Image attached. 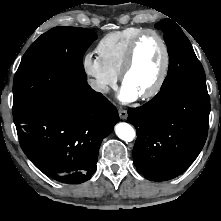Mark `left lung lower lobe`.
Listing matches in <instances>:
<instances>
[{
	"instance_id": "obj_1",
	"label": "left lung lower lobe",
	"mask_w": 221,
	"mask_h": 221,
	"mask_svg": "<svg viewBox=\"0 0 221 221\" xmlns=\"http://www.w3.org/2000/svg\"><path fill=\"white\" fill-rule=\"evenodd\" d=\"M207 88L172 84L143 106L130 109L128 120L138 138L133 148L137 171L151 181L182 174L201 152L208 133Z\"/></svg>"
}]
</instances>
